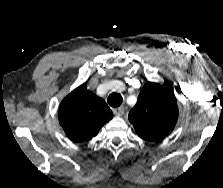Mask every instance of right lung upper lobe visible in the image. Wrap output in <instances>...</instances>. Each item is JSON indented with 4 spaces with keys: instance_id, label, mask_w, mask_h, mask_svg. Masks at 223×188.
I'll return each instance as SVG.
<instances>
[{
    "instance_id": "1",
    "label": "right lung upper lobe",
    "mask_w": 223,
    "mask_h": 188,
    "mask_svg": "<svg viewBox=\"0 0 223 188\" xmlns=\"http://www.w3.org/2000/svg\"><path fill=\"white\" fill-rule=\"evenodd\" d=\"M112 117L105 101L89 91L86 84L67 95L59 106L60 125L74 142L90 140Z\"/></svg>"
}]
</instances>
